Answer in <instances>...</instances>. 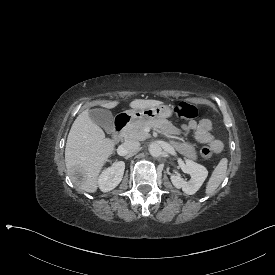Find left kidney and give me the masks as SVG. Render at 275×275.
Returning a JSON list of instances; mask_svg holds the SVG:
<instances>
[{
    "mask_svg": "<svg viewBox=\"0 0 275 275\" xmlns=\"http://www.w3.org/2000/svg\"><path fill=\"white\" fill-rule=\"evenodd\" d=\"M186 169L191 174L190 181H185L180 175H172L171 181L176 188H182L186 194L192 195L202 186L208 175V171L204 166L189 159L186 160Z\"/></svg>",
    "mask_w": 275,
    "mask_h": 275,
    "instance_id": "left-kidney-1",
    "label": "left kidney"
}]
</instances>
